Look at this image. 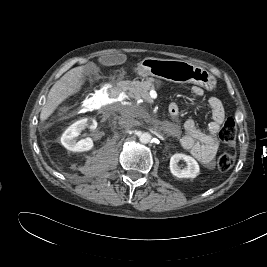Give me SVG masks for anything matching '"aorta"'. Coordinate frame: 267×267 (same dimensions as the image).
I'll return each mask as SVG.
<instances>
[{"label":"aorta","instance_id":"obj_1","mask_svg":"<svg viewBox=\"0 0 267 267\" xmlns=\"http://www.w3.org/2000/svg\"><path fill=\"white\" fill-rule=\"evenodd\" d=\"M152 136L148 132H143L139 135V140L141 143L147 144L151 141Z\"/></svg>","mask_w":267,"mask_h":267}]
</instances>
